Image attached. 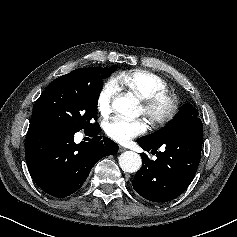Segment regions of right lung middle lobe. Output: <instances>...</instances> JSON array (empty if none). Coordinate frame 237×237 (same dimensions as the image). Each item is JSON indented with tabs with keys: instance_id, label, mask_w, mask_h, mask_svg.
Listing matches in <instances>:
<instances>
[{
	"instance_id": "dd1d6c3e",
	"label": "right lung middle lobe",
	"mask_w": 237,
	"mask_h": 237,
	"mask_svg": "<svg viewBox=\"0 0 237 237\" xmlns=\"http://www.w3.org/2000/svg\"><path fill=\"white\" fill-rule=\"evenodd\" d=\"M117 69L85 68L53 80L36 101L30 122L52 125L72 131L94 129L97 103L103 80Z\"/></svg>"
}]
</instances>
